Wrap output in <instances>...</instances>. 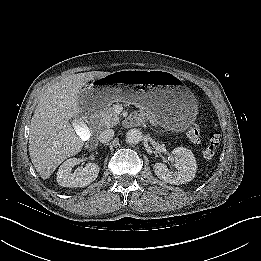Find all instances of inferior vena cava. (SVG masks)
I'll return each mask as SVG.
<instances>
[{"label": "inferior vena cava", "mask_w": 261, "mask_h": 261, "mask_svg": "<svg viewBox=\"0 0 261 261\" xmlns=\"http://www.w3.org/2000/svg\"><path fill=\"white\" fill-rule=\"evenodd\" d=\"M114 137V130L113 129H106L102 131L99 135V141L101 143H107L112 140Z\"/></svg>", "instance_id": "1"}]
</instances>
